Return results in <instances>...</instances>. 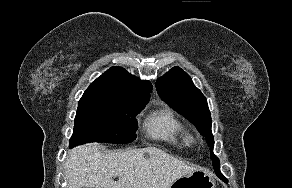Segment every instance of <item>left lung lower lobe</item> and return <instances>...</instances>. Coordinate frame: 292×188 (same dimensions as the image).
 <instances>
[{
  "instance_id": "obj_1",
  "label": "left lung lower lobe",
  "mask_w": 292,
  "mask_h": 188,
  "mask_svg": "<svg viewBox=\"0 0 292 188\" xmlns=\"http://www.w3.org/2000/svg\"><path fill=\"white\" fill-rule=\"evenodd\" d=\"M214 171H215V173H216L219 177H221L220 169H214Z\"/></svg>"
}]
</instances>
